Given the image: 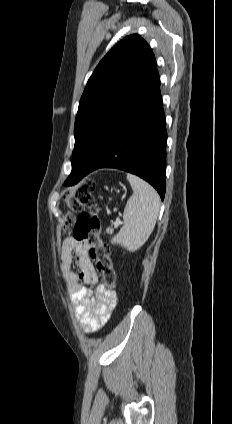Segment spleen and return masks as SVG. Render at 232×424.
Wrapping results in <instances>:
<instances>
[{"mask_svg": "<svg viewBox=\"0 0 232 424\" xmlns=\"http://www.w3.org/2000/svg\"><path fill=\"white\" fill-rule=\"evenodd\" d=\"M133 189L123 213V227L111 243L119 244L128 251L139 249L150 237L160 209V197L156 190L140 177L127 174Z\"/></svg>", "mask_w": 232, "mask_h": 424, "instance_id": "3e777b00", "label": "spleen"}]
</instances>
